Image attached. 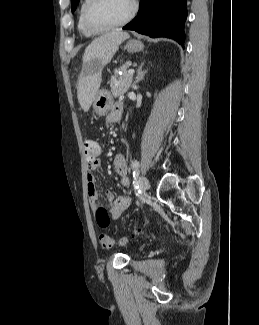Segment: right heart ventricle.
I'll return each instance as SVG.
<instances>
[{"label":"right heart ventricle","mask_w":259,"mask_h":325,"mask_svg":"<svg viewBox=\"0 0 259 325\" xmlns=\"http://www.w3.org/2000/svg\"><path fill=\"white\" fill-rule=\"evenodd\" d=\"M86 3H87V0H82L81 3H80L79 9H78L77 27H78V30L83 35H85V36H94L97 33L96 32H92L89 29H87L86 26L84 25V22H83L82 14H83V9H84Z\"/></svg>","instance_id":"e07e8e85"}]
</instances>
